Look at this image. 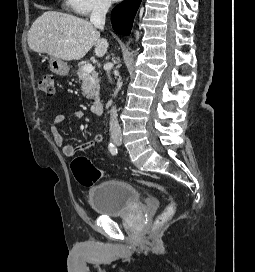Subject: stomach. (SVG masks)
<instances>
[{
	"instance_id": "stomach-1",
	"label": "stomach",
	"mask_w": 255,
	"mask_h": 272,
	"mask_svg": "<svg viewBox=\"0 0 255 272\" xmlns=\"http://www.w3.org/2000/svg\"><path fill=\"white\" fill-rule=\"evenodd\" d=\"M49 67L52 73L62 76L68 75L70 70L68 64L65 61L55 57H50Z\"/></svg>"
}]
</instances>
